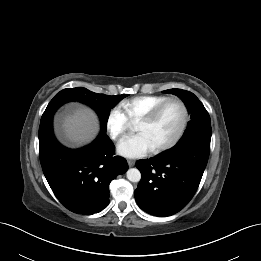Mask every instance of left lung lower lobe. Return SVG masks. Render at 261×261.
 <instances>
[{"instance_id": "1", "label": "left lung lower lobe", "mask_w": 261, "mask_h": 261, "mask_svg": "<svg viewBox=\"0 0 261 261\" xmlns=\"http://www.w3.org/2000/svg\"><path fill=\"white\" fill-rule=\"evenodd\" d=\"M210 153V140L194 138L169 151L136 162L142 178L135 190L138 206L165 217L183 209L194 196Z\"/></svg>"}]
</instances>
